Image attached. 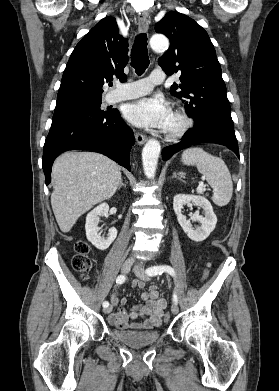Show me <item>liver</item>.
Wrapping results in <instances>:
<instances>
[{
    "label": "liver",
    "instance_id": "obj_1",
    "mask_svg": "<svg viewBox=\"0 0 279 391\" xmlns=\"http://www.w3.org/2000/svg\"><path fill=\"white\" fill-rule=\"evenodd\" d=\"M51 205L62 232L97 203L111 198L121 181L119 166L95 152H65L52 167Z\"/></svg>",
    "mask_w": 279,
    "mask_h": 391
}]
</instances>
